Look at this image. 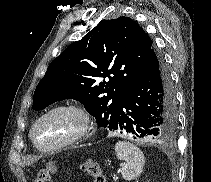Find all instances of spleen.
<instances>
[{
  "mask_svg": "<svg viewBox=\"0 0 211 182\" xmlns=\"http://www.w3.org/2000/svg\"><path fill=\"white\" fill-rule=\"evenodd\" d=\"M115 153L117 159L124 161L120 169L124 180L131 181L142 174L144 154L137 146L127 141H118L115 144Z\"/></svg>",
  "mask_w": 211,
  "mask_h": 182,
  "instance_id": "1",
  "label": "spleen"
}]
</instances>
